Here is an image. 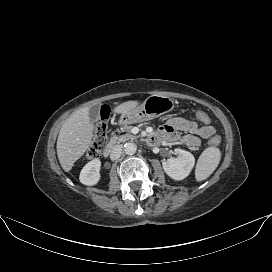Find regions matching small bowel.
I'll use <instances>...</instances> for the list:
<instances>
[{"label":"small bowel","mask_w":272,"mask_h":272,"mask_svg":"<svg viewBox=\"0 0 272 272\" xmlns=\"http://www.w3.org/2000/svg\"><path fill=\"white\" fill-rule=\"evenodd\" d=\"M180 132L185 134L180 135ZM214 134L215 129L211 125L200 126L195 121L183 117H173L168 119L152 136V141H180L188 147L196 148L200 145L201 139H210Z\"/></svg>","instance_id":"small-bowel-1"}]
</instances>
